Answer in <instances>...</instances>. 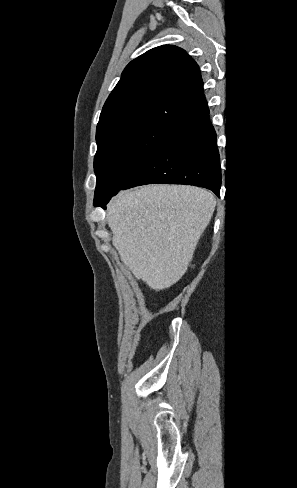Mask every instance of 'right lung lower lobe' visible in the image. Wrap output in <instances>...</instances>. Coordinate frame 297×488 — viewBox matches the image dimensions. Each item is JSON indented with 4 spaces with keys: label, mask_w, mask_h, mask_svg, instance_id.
<instances>
[{
    "label": "right lung lower lobe",
    "mask_w": 297,
    "mask_h": 488,
    "mask_svg": "<svg viewBox=\"0 0 297 488\" xmlns=\"http://www.w3.org/2000/svg\"><path fill=\"white\" fill-rule=\"evenodd\" d=\"M152 183L195 185L219 196L220 157L209 110L172 129L122 189Z\"/></svg>",
    "instance_id": "obj_1"
}]
</instances>
